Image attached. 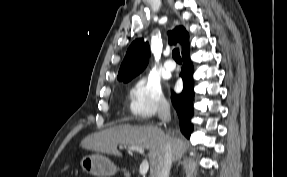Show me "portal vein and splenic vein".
Segmentation results:
<instances>
[{
  "instance_id": "portal-vein-and-splenic-vein-1",
  "label": "portal vein and splenic vein",
  "mask_w": 287,
  "mask_h": 177,
  "mask_svg": "<svg viewBox=\"0 0 287 177\" xmlns=\"http://www.w3.org/2000/svg\"><path fill=\"white\" fill-rule=\"evenodd\" d=\"M124 148H127L128 150H132V151H137L140 154H144V148L139 147V146H128V147L124 146ZM148 170H149V162L146 159H144L142 163L140 164L139 173L140 175L145 176Z\"/></svg>"
}]
</instances>
